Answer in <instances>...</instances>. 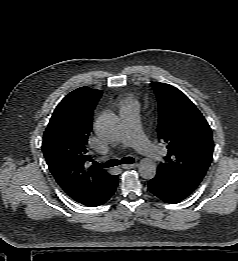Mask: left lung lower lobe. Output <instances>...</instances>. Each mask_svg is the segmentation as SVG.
I'll return each mask as SVG.
<instances>
[{
  "label": "left lung lower lobe",
  "instance_id": "left-lung-lower-lobe-1",
  "mask_svg": "<svg viewBox=\"0 0 238 261\" xmlns=\"http://www.w3.org/2000/svg\"><path fill=\"white\" fill-rule=\"evenodd\" d=\"M148 190L154 196L167 203H178L193 192L158 171L154 178L148 182Z\"/></svg>",
  "mask_w": 238,
  "mask_h": 261
}]
</instances>
